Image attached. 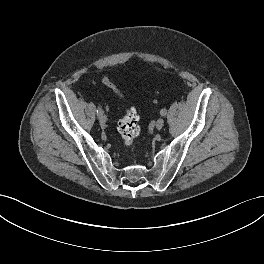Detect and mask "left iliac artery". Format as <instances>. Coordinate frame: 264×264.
<instances>
[{"mask_svg":"<svg viewBox=\"0 0 264 264\" xmlns=\"http://www.w3.org/2000/svg\"><path fill=\"white\" fill-rule=\"evenodd\" d=\"M160 114L162 116H165L167 114V110L166 109H161Z\"/></svg>","mask_w":264,"mask_h":264,"instance_id":"44dca946","label":"left iliac artery"}]
</instances>
